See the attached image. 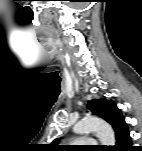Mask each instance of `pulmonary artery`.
<instances>
[{
    "instance_id": "pulmonary-artery-1",
    "label": "pulmonary artery",
    "mask_w": 142,
    "mask_h": 151,
    "mask_svg": "<svg viewBox=\"0 0 142 151\" xmlns=\"http://www.w3.org/2000/svg\"><path fill=\"white\" fill-rule=\"evenodd\" d=\"M94 143H95V140L90 139V138H79L73 142V144H88V145H91Z\"/></svg>"
}]
</instances>
